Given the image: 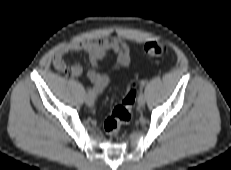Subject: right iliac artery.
Listing matches in <instances>:
<instances>
[{"label": "right iliac artery", "instance_id": "82829eb1", "mask_svg": "<svg viewBox=\"0 0 231 170\" xmlns=\"http://www.w3.org/2000/svg\"><path fill=\"white\" fill-rule=\"evenodd\" d=\"M88 94L91 95L93 98L96 97L95 93L93 92L92 89L88 88Z\"/></svg>", "mask_w": 231, "mask_h": 170}]
</instances>
